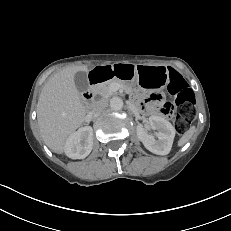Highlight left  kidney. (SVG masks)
I'll list each match as a JSON object with an SVG mask.
<instances>
[{"label": "left kidney", "instance_id": "obj_1", "mask_svg": "<svg viewBox=\"0 0 231 231\" xmlns=\"http://www.w3.org/2000/svg\"><path fill=\"white\" fill-rule=\"evenodd\" d=\"M149 124L153 130H157L158 140L149 135L143 125L137 126V137L150 152L158 155H167L173 144L176 130L166 119L159 116H150Z\"/></svg>", "mask_w": 231, "mask_h": 231}]
</instances>
